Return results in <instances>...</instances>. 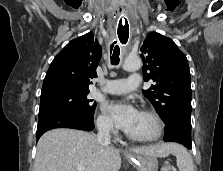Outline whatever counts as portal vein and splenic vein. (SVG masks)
<instances>
[{
    "mask_svg": "<svg viewBox=\"0 0 223 171\" xmlns=\"http://www.w3.org/2000/svg\"><path fill=\"white\" fill-rule=\"evenodd\" d=\"M76 171H85V167L82 165H79L76 167Z\"/></svg>",
    "mask_w": 223,
    "mask_h": 171,
    "instance_id": "obj_1",
    "label": "portal vein and splenic vein"
}]
</instances>
